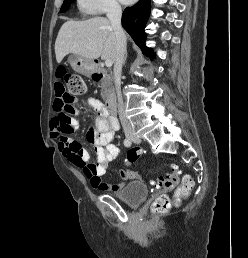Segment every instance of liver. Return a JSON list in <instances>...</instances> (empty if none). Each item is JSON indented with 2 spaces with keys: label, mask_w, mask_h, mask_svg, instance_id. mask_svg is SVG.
<instances>
[{
  "label": "liver",
  "mask_w": 248,
  "mask_h": 258,
  "mask_svg": "<svg viewBox=\"0 0 248 258\" xmlns=\"http://www.w3.org/2000/svg\"><path fill=\"white\" fill-rule=\"evenodd\" d=\"M115 50V32L110 21L103 17L65 22L55 42L57 63H60L67 54L78 55L92 61L101 56L114 62Z\"/></svg>",
  "instance_id": "liver-1"
}]
</instances>
